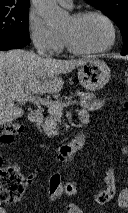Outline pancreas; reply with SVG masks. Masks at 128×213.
Segmentation results:
<instances>
[{
    "mask_svg": "<svg viewBox=\"0 0 128 213\" xmlns=\"http://www.w3.org/2000/svg\"><path fill=\"white\" fill-rule=\"evenodd\" d=\"M76 96L79 97V105L83 108H89L90 103L92 101L93 96L89 93H84L81 91H76ZM68 98V100H70ZM62 98L58 100L60 104H62ZM61 123V112L58 110L48 109V116L44 120V124L42 125L44 132L47 136L52 137L59 134L58 124ZM63 134V133H61Z\"/></svg>",
    "mask_w": 128,
    "mask_h": 213,
    "instance_id": "cf45deb5",
    "label": "pancreas"
}]
</instances>
